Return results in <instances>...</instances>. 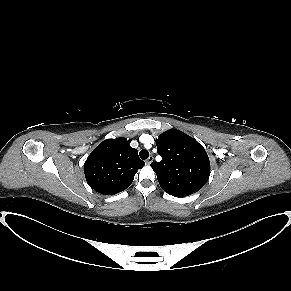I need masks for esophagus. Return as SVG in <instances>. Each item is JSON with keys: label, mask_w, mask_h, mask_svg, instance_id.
Listing matches in <instances>:
<instances>
[{"label": "esophagus", "mask_w": 291, "mask_h": 291, "mask_svg": "<svg viewBox=\"0 0 291 291\" xmlns=\"http://www.w3.org/2000/svg\"><path fill=\"white\" fill-rule=\"evenodd\" d=\"M153 160H154V157H153V156H150V157L145 161V163H146L147 165H150V164L152 163Z\"/></svg>", "instance_id": "34e87169"}]
</instances>
